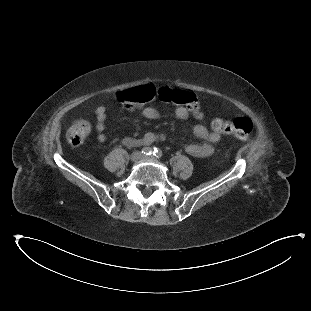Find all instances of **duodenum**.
Returning <instances> with one entry per match:
<instances>
[{
  "label": "duodenum",
  "mask_w": 311,
  "mask_h": 311,
  "mask_svg": "<svg viewBox=\"0 0 311 311\" xmlns=\"http://www.w3.org/2000/svg\"><path fill=\"white\" fill-rule=\"evenodd\" d=\"M131 142H132L134 145H147V141L142 140V139H140V138H133V139H131Z\"/></svg>",
  "instance_id": "duodenum-1"
}]
</instances>
